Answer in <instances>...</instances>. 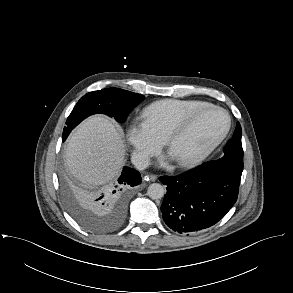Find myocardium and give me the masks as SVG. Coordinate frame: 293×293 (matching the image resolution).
<instances>
[{"mask_svg": "<svg viewBox=\"0 0 293 293\" xmlns=\"http://www.w3.org/2000/svg\"><path fill=\"white\" fill-rule=\"evenodd\" d=\"M208 110H216L222 112L226 117V125L223 131L215 137L210 143H208L205 147L200 149L199 151L177 161L178 165L182 167H189L196 165L206 159L215 149L216 147L226 138L231 128V117L229 113L216 105L208 104L203 106L190 114H188L181 122H179L176 126L172 128L169 134L166 137V147L170 149L174 143L180 139L193 125L195 120L204 112Z\"/></svg>", "mask_w": 293, "mask_h": 293, "instance_id": "myocardium-1", "label": "myocardium"}]
</instances>
